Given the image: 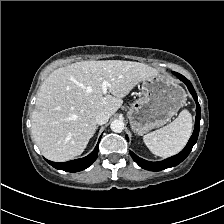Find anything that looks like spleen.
<instances>
[{
  "label": "spleen",
  "mask_w": 224,
  "mask_h": 224,
  "mask_svg": "<svg viewBox=\"0 0 224 224\" xmlns=\"http://www.w3.org/2000/svg\"><path fill=\"white\" fill-rule=\"evenodd\" d=\"M192 116L188 110H182L170 124L143 136L149 150L160 157H169L179 153L192 134Z\"/></svg>",
  "instance_id": "obj_1"
}]
</instances>
